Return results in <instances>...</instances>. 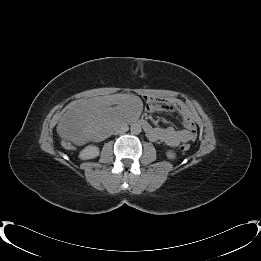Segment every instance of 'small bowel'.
<instances>
[{
    "label": "small bowel",
    "instance_id": "small-bowel-1",
    "mask_svg": "<svg viewBox=\"0 0 261 261\" xmlns=\"http://www.w3.org/2000/svg\"><path fill=\"white\" fill-rule=\"evenodd\" d=\"M148 109L150 112L162 111L177 113L182 119L185 129L176 130L173 127H152L148 133L153 141H161L175 147L181 143L194 141L197 137V125L190 111L181 103L173 99L148 97Z\"/></svg>",
    "mask_w": 261,
    "mask_h": 261
}]
</instances>
